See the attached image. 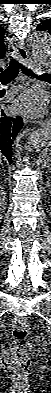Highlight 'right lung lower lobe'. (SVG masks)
Wrapping results in <instances>:
<instances>
[{
    "mask_svg": "<svg viewBox=\"0 0 51 393\" xmlns=\"http://www.w3.org/2000/svg\"><path fill=\"white\" fill-rule=\"evenodd\" d=\"M0 97H2L0 95ZM23 126L21 117H7L0 105V155L3 154L11 163L12 144L15 136Z\"/></svg>",
    "mask_w": 51,
    "mask_h": 393,
    "instance_id": "right-lung-lower-lobe-1",
    "label": "right lung lower lobe"
}]
</instances>
